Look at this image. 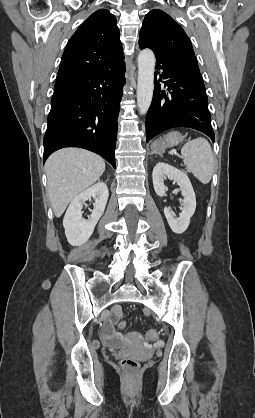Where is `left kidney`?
Segmentation results:
<instances>
[{
  "instance_id": "5707ae66",
  "label": "left kidney",
  "mask_w": 255,
  "mask_h": 418,
  "mask_svg": "<svg viewBox=\"0 0 255 418\" xmlns=\"http://www.w3.org/2000/svg\"><path fill=\"white\" fill-rule=\"evenodd\" d=\"M153 186L158 196L166 195L164 179L173 180L180 187L183 200V207L179 217H175L170 208H164V214L172 231L177 234L183 233L189 226L190 218L196 208V197L188 176L181 170L166 164L157 163L153 169Z\"/></svg>"
}]
</instances>
